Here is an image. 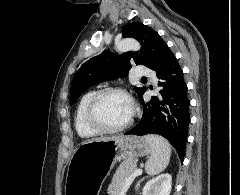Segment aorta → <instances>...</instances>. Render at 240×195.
I'll return each instance as SVG.
<instances>
[{"label": "aorta", "instance_id": "762f6f07", "mask_svg": "<svg viewBox=\"0 0 240 195\" xmlns=\"http://www.w3.org/2000/svg\"><path fill=\"white\" fill-rule=\"evenodd\" d=\"M115 46L116 50H119V52H129V50L138 52V50H140V44L137 40H134V38H126V40L116 42Z\"/></svg>", "mask_w": 240, "mask_h": 195}]
</instances>
